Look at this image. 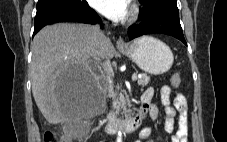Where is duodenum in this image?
Segmentation results:
<instances>
[{
    "label": "duodenum",
    "instance_id": "obj_1",
    "mask_svg": "<svg viewBox=\"0 0 227 142\" xmlns=\"http://www.w3.org/2000/svg\"><path fill=\"white\" fill-rule=\"evenodd\" d=\"M145 114V109L141 106V109L138 113L124 119H117L114 116H110L106 123L105 130L110 134L116 133L119 129H122L128 133H132L139 128L142 120L145 117Z\"/></svg>",
    "mask_w": 227,
    "mask_h": 142
}]
</instances>
